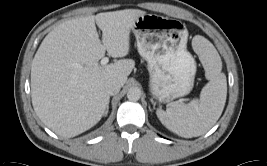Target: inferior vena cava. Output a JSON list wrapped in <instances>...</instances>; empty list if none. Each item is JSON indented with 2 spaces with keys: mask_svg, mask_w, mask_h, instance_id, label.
Segmentation results:
<instances>
[{
  "mask_svg": "<svg viewBox=\"0 0 267 166\" xmlns=\"http://www.w3.org/2000/svg\"><path fill=\"white\" fill-rule=\"evenodd\" d=\"M121 84L116 80H109L105 84V91L109 95H115L117 94L121 89Z\"/></svg>",
  "mask_w": 267,
  "mask_h": 166,
  "instance_id": "602c4592",
  "label": "inferior vena cava"
}]
</instances>
